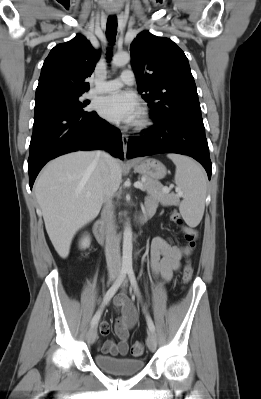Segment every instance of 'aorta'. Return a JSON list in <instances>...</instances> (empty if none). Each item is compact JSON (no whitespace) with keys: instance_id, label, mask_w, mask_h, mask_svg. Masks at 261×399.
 Returning <instances> with one entry per match:
<instances>
[{"instance_id":"obj_1","label":"aorta","mask_w":261,"mask_h":399,"mask_svg":"<svg viewBox=\"0 0 261 399\" xmlns=\"http://www.w3.org/2000/svg\"><path fill=\"white\" fill-rule=\"evenodd\" d=\"M130 61V54L126 52L117 53L114 55L112 59V65L116 67H121L126 65ZM132 229L129 222L125 223L124 232H123V257L122 263L123 266H132Z\"/></svg>"}]
</instances>
